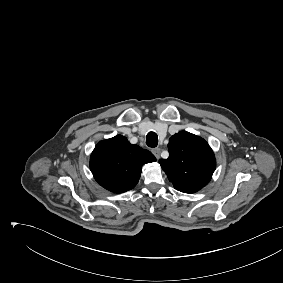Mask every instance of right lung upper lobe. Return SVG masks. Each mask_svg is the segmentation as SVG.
I'll list each match as a JSON object with an SVG mask.
<instances>
[{"instance_id":"1","label":"right lung upper lobe","mask_w":283,"mask_h":283,"mask_svg":"<svg viewBox=\"0 0 283 283\" xmlns=\"http://www.w3.org/2000/svg\"><path fill=\"white\" fill-rule=\"evenodd\" d=\"M155 156L126 137L117 135L100 141L90 157V169L95 180L113 193L131 190L138 183L142 166L155 162Z\"/></svg>"}]
</instances>
